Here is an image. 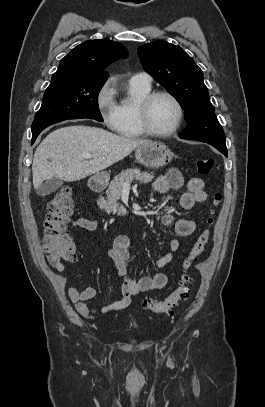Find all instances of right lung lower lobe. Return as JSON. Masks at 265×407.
Wrapping results in <instances>:
<instances>
[{"instance_id":"right-lung-lower-lobe-1","label":"right lung lower lobe","mask_w":265,"mask_h":407,"mask_svg":"<svg viewBox=\"0 0 265 407\" xmlns=\"http://www.w3.org/2000/svg\"><path fill=\"white\" fill-rule=\"evenodd\" d=\"M35 140H36V138H35V137H32V144L34 143Z\"/></svg>"}]
</instances>
